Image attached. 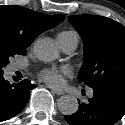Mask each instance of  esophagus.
Instances as JSON below:
<instances>
[{
    "instance_id": "obj_1",
    "label": "esophagus",
    "mask_w": 125,
    "mask_h": 125,
    "mask_svg": "<svg viewBox=\"0 0 125 125\" xmlns=\"http://www.w3.org/2000/svg\"><path fill=\"white\" fill-rule=\"evenodd\" d=\"M51 89H52V91H53L55 94H57V95H63V94H64V91H62V90L53 89V88H51Z\"/></svg>"
}]
</instances>
